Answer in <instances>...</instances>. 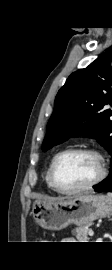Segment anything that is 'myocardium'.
I'll list each match as a JSON object with an SVG mask.
<instances>
[{"instance_id": "1", "label": "myocardium", "mask_w": 112, "mask_h": 270, "mask_svg": "<svg viewBox=\"0 0 112 270\" xmlns=\"http://www.w3.org/2000/svg\"><path fill=\"white\" fill-rule=\"evenodd\" d=\"M71 153H83V154H89V155L94 156L98 160V163H99V172H98V175L88 184L81 187H77V188L67 189V188L61 187L58 184L55 177V168H56L57 162L59 161L61 157L67 154H71ZM106 174H107V168H106V160L104 156L98 150L94 148H89V147H72V148H67L58 152L53 157L51 164L49 166V170H48L49 182L51 186L53 187V189L57 191L58 193L67 194V195L82 193L96 187L105 179Z\"/></svg>"}]
</instances>
